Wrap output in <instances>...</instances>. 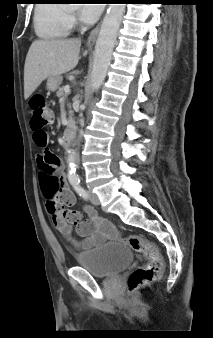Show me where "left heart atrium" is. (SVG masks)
<instances>
[{"label":"left heart atrium","mask_w":213,"mask_h":338,"mask_svg":"<svg viewBox=\"0 0 213 338\" xmlns=\"http://www.w3.org/2000/svg\"><path fill=\"white\" fill-rule=\"evenodd\" d=\"M102 11L101 5L84 4L81 6V17L86 22H94Z\"/></svg>","instance_id":"39dd6f15"}]
</instances>
